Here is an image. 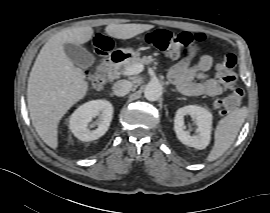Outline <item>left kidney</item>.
<instances>
[{
    "label": "left kidney",
    "mask_w": 270,
    "mask_h": 213,
    "mask_svg": "<svg viewBox=\"0 0 270 213\" xmlns=\"http://www.w3.org/2000/svg\"><path fill=\"white\" fill-rule=\"evenodd\" d=\"M185 115H190L196 122L198 132L194 136L185 130ZM212 118L211 112L200 106L188 105L179 108L174 118V130L177 138L187 146L199 150L205 149L211 139Z\"/></svg>",
    "instance_id": "obj_1"
}]
</instances>
